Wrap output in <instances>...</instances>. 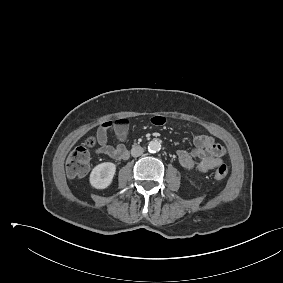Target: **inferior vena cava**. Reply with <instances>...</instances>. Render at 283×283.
Listing matches in <instances>:
<instances>
[{
    "label": "inferior vena cava",
    "mask_w": 283,
    "mask_h": 283,
    "mask_svg": "<svg viewBox=\"0 0 283 283\" xmlns=\"http://www.w3.org/2000/svg\"><path fill=\"white\" fill-rule=\"evenodd\" d=\"M144 152V149L140 146H134L132 149H131V155L133 157H138L140 155H142Z\"/></svg>",
    "instance_id": "1"
}]
</instances>
